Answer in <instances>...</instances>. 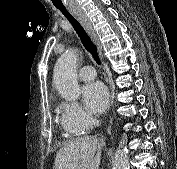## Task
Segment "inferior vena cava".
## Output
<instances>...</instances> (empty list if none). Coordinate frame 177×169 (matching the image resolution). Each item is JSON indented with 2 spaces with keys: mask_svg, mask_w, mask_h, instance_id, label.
Returning <instances> with one entry per match:
<instances>
[{
  "mask_svg": "<svg viewBox=\"0 0 177 169\" xmlns=\"http://www.w3.org/2000/svg\"><path fill=\"white\" fill-rule=\"evenodd\" d=\"M93 123H94L95 125H98V124H99V121H98L97 119H93Z\"/></svg>",
  "mask_w": 177,
  "mask_h": 169,
  "instance_id": "1",
  "label": "inferior vena cava"
}]
</instances>
